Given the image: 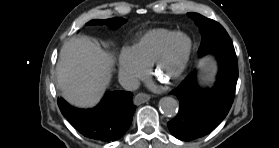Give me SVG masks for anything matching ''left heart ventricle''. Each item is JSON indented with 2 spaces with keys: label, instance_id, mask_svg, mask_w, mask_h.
Returning <instances> with one entry per match:
<instances>
[{
  "label": "left heart ventricle",
  "instance_id": "1",
  "mask_svg": "<svg viewBox=\"0 0 279 148\" xmlns=\"http://www.w3.org/2000/svg\"><path fill=\"white\" fill-rule=\"evenodd\" d=\"M186 45L187 42L185 39H178L176 41L173 53L162 67L161 73L159 75V77H161L163 80H168L177 69L181 62Z\"/></svg>",
  "mask_w": 279,
  "mask_h": 148
}]
</instances>
